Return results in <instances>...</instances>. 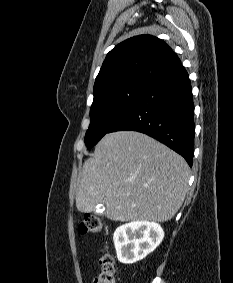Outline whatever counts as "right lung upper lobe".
Instances as JSON below:
<instances>
[{"label":"right lung upper lobe","instance_id":"obj_1","mask_svg":"<svg viewBox=\"0 0 233 283\" xmlns=\"http://www.w3.org/2000/svg\"><path fill=\"white\" fill-rule=\"evenodd\" d=\"M181 63L161 39L140 35L115 46L96 77L94 95L133 80L152 81Z\"/></svg>","mask_w":233,"mask_h":283}]
</instances>
